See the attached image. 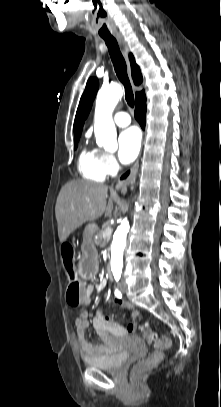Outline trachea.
Returning a JSON list of instances; mask_svg holds the SVG:
<instances>
[{"mask_svg": "<svg viewBox=\"0 0 221 407\" xmlns=\"http://www.w3.org/2000/svg\"><path fill=\"white\" fill-rule=\"evenodd\" d=\"M108 47L109 54L117 74V77L124 85L125 99L130 107H134V95L127 74L126 62L121 54L117 40L113 36L102 37Z\"/></svg>", "mask_w": 221, "mask_h": 407, "instance_id": "obj_1", "label": "trachea"}]
</instances>
